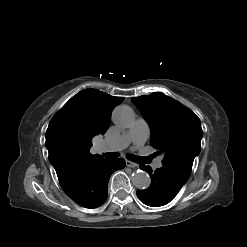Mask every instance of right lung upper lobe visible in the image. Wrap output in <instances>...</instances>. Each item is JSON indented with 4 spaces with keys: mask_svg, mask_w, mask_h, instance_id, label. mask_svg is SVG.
Instances as JSON below:
<instances>
[{
    "mask_svg": "<svg viewBox=\"0 0 247 247\" xmlns=\"http://www.w3.org/2000/svg\"><path fill=\"white\" fill-rule=\"evenodd\" d=\"M123 100L96 89H85L54 115L45 144L58 178L104 159L90 154L92 138L106 132L113 108Z\"/></svg>",
    "mask_w": 247,
    "mask_h": 247,
    "instance_id": "cb5924a9",
    "label": "right lung upper lobe"
}]
</instances>
